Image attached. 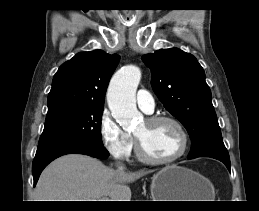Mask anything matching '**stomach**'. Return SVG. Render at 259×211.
<instances>
[{"instance_id": "obj_1", "label": "stomach", "mask_w": 259, "mask_h": 211, "mask_svg": "<svg viewBox=\"0 0 259 211\" xmlns=\"http://www.w3.org/2000/svg\"><path fill=\"white\" fill-rule=\"evenodd\" d=\"M153 201H212L214 188L190 169L171 165L157 172L150 185Z\"/></svg>"}]
</instances>
